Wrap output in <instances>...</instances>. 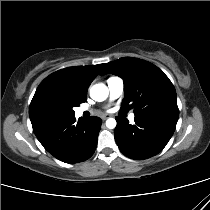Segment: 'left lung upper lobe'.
<instances>
[{
    "label": "left lung upper lobe",
    "mask_w": 210,
    "mask_h": 210,
    "mask_svg": "<svg viewBox=\"0 0 210 210\" xmlns=\"http://www.w3.org/2000/svg\"><path fill=\"white\" fill-rule=\"evenodd\" d=\"M100 75L112 73L124 81L121 108H134L135 117H162L178 120L176 91L169 78L152 63L123 57L103 64Z\"/></svg>",
    "instance_id": "5c2ea615"
}]
</instances>
